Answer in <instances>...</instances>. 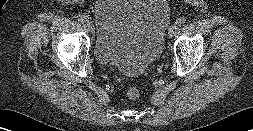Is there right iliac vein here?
<instances>
[{
  "mask_svg": "<svg viewBox=\"0 0 253 131\" xmlns=\"http://www.w3.org/2000/svg\"><path fill=\"white\" fill-rule=\"evenodd\" d=\"M85 25L91 33L94 32V24L91 21H86Z\"/></svg>",
  "mask_w": 253,
  "mask_h": 131,
  "instance_id": "1",
  "label": "right iliac vein"
}]
</instances>
